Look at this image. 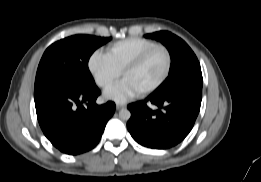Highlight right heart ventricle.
<instances>
[{
    "instance_id": "right-heart-ventricle-1",
    "label": "right heart ventricle",
    "mask_w": 261,
    "mask_h": 182,
    "mask_svg": "<svg viewBox=\"0 0 261 182\" xmlns=\"http://www.w3.org/2000/svg\"><path fill=\"white\" fill-rule=\"evenodd\" d=\"M157 45L154 41L145 38L132 37L110 44L106 48V55L114 66L122 72L127 64L146 49Z\"/></svg>"
}]
</instances>
